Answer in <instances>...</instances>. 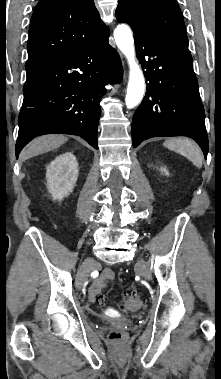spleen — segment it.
<instances>
[{"mask_svg":"<svg viewBox=\"0 0 221 379\" xmlns=\"http://www.w3.org/2000/svg\"><path fill=\"white\" fill-rule=\"evenodd\" d=\"M164 146L190 160L196 167L201 168L203 162L202 151L199 146L188 138H170Z\"/></svg>","mask_w":221,"mask_h":379,"instance_id":"obj_1","label":"spleen"}]
</instances>
